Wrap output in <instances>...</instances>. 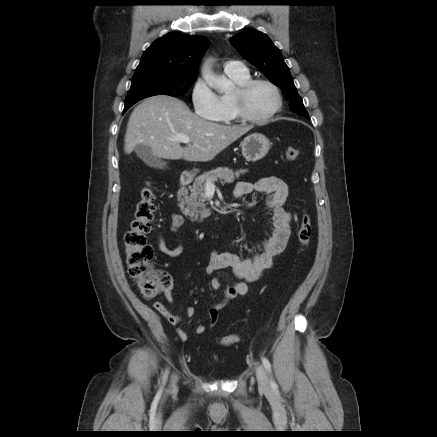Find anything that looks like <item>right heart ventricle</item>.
Returning a JSON list of instances; mask_svg holds the SVG:
<instances>
[{"label":"right heart ventricle","instance_id":"1","mask_svg":"<svg viewBox=\"0 0 437 437\" xmlns=\"http://www.w3.org/2000/svg\"><path fill=\"white\" fill-rule=\"evenodd\" d=\"M227 76L236 84L240 86L250 79L248 71L238 74H227ZM221 103V114L216 121L223 124H232L239 121V117L235 111L233 103V93L223 94L219 96Z\"/></svg>","mask_w":437,"mask_h":437}]
</instances>
